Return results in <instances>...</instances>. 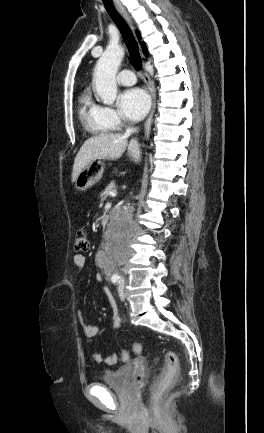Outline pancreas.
I'll return each mask as SVG.
<instances>
[{"label": "pancreas", "mask_w": 264, "mask_h": 433, "mask_svg": "<svg viewBox=\"0 0 264 433\" xmlns=\"http://www.w3.org/2000/svg\"><path fill=\"white\" fill-rule=\"evenodd\" d=\"M112 191H116V186H115L114 182H111L105 188V190L102 192V194H101V200H105L110 195V192H112Z\"/></svg>", "instance_id": "cf45deb5"}]
</instances>
